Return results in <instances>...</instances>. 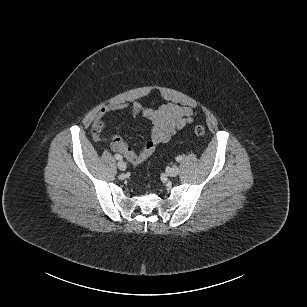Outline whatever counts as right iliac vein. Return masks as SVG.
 I'll use <instances>...</instances> for the list:
<instances>
[{
    "instance_id": "obj_1",
    "label": "right iliac vein",
    "mask_w": 307,
    "mask_h": 307,
    "mask_svg": "<svg viewBox=\"0 0 307 307\" xmlns=\"http://www.w3.org/2000/svg\"><path fill=\"white\" fill-rule=\"evenodd\" d=\"M117 166H118V168H119L120 170H122V171L126 170V168H127L126 163H125L124 161H122V160H120V161L117 163Z\"/></svg>"
}]
</instances>
